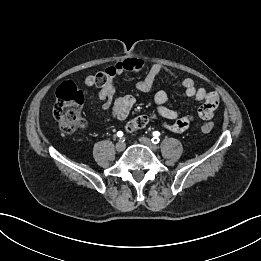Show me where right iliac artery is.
I'll return each mask as SVG.
<instances>
[{"label":"right iliac artery","instance_id":"1","mask_svg":"<svg viewBox=\"0 0 261 261\" xmlns=\"http://www.w3.org/2000/svg\"><path fill=\"white\" fill-rule=\"evenodd\" d=\"M117 136L120 137V139H122L121 137H123V132L122 131H118L117 132ZM124 142V140H121Z\"/></svg>","mask_w":261,"mask_h":261}]
</instances>
